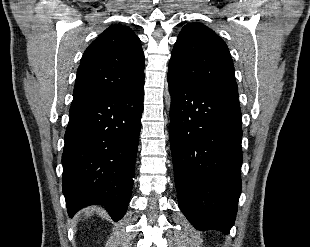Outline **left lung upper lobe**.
Returning a JSON list of instances; mask_svg holds the SVG:
<instances>
[{
	"label": "left lung upper lobe",
	"instance_id": "5c2ea615",
	"mask_svg": "<svg viewBox=\"0 0 310 247\" xmlns=\"http://www.w3.org/2000/svg\"><path fill=\"white\" fill-rule=\"evenodd\" d=\"M168 74L238 97L233 61L225 42L199 23L185 25L171 53Z\"/></svg>",
	"mask_w": 310,
	"mask_h": 247
}]
</instances>
